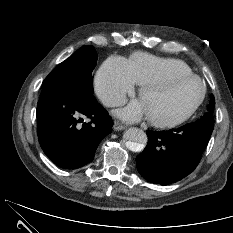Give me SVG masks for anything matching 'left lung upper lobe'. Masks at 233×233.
Segmentation results:
<instances>
[{
  "label": "left lung upper lobe",
  "mask_w": 233,
  "mask_h": 233,
  "mask_svg": "<svg viewBox=\"0 0 233 233\" xmlns=\"http://www.w3.org/2000/svg\"><path fill=\"white\" fill-rule=\"evenodd\" d=\"M214 106H215L214 96L211 95L210 103H209V105L207 107V112L196 123L203 124L205 126L213 128V124H214V118H213Z\"/></svg>",
  "instance_id": "left-lung-upper-lobe-1"
}]
</instances>
